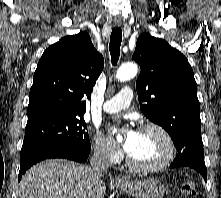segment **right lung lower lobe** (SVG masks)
Masks as SVG:
<instances>
[{
  "label": "right lung lower lobe",
  "instance_id": "right-lung-lower-lobe-1",
  "mask_svg": "<svg viewBox=\"0 0 221 198\" xmlns=\"http://www.w3.org/2000/svg\"><path fill=\"white\" fill-rule=\"evenodd\" d=\"M89 151L72 145L56 144L37 149L23 158H20V171L18 181L28 168L39 161L51 158H64L77 162H85L89 156Z\"/></svg>",
  "mask_w": 221,
  "mask_h": 198
}]
</instances>
